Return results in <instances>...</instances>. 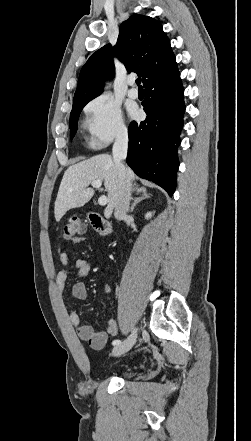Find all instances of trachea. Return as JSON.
<instances>
[{"instance_id": "trachea-1", "label": "trachea", "mask_w": 251, "mask_h": 441, "mask_svg": "<svg viewBox=\"0 0 251 441\" xmlns=\"http://www.w3.org/2000/svg\"><path fill=\"white\" fill-rule=\"evenodd\" d=\"M136 84L141 88V78L136 79Z\"/></svg>"}]
</instances>
